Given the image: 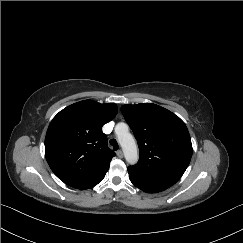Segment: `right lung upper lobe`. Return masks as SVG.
I'll use <instances>...</instances> for the list:
<instances>
[{"label":"right lung upper lobe","mask_w":243,"mask_h":243,"mask_svg":"<svg viewBox=\"0 0 243 243\" xmlns=\"http://www.w3.org/2000/svg\"><path fill=\"white\" fill-rule=\"evenodd\" d=\"M116 114L115 104L84 100L53 118L46 133L45 157L61 181L76 187L109 169L115 152L108 148L102 126Z\"/></svg>","instance_id":"1"}]
</instances>
